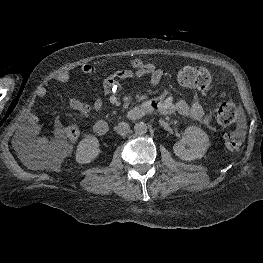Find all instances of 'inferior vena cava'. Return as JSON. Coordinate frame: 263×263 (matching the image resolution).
Returning <instances> with one entry per match:
<instances>
[{
  "mask_svg": "<svg viewBox=\"0 0 263 263\" xmlns=\"http://www.w3.org/2000/svg\"><path fill=\"white\" fill-rule=\"evenodd\" d=\"M116 131L121 136L126 135L130 132V126L126 122H120L116 127Z\"/></svg>",
  "mask_w": 263,
  "mask_h": 263,
  "instance_id": "inferior-vena-cava-1",
  "label": "inferior vena cava"
}]
</instances>
